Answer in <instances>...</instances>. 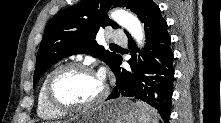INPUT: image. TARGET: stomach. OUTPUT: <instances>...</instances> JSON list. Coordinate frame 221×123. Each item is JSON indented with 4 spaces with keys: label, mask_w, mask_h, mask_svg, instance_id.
I'll list each match as a JSON object with an SVG mask.
<instances>
[{
    "label": "stomach",
    "mask_w": 221,
    "mask_h": 123,
    "mask_svg": "<svg viewBox=\"0 0 221 123\" xmlns=\"http://www.w3.org/2000/svg\"><path fill=\"white\" fill-rule=\"evenodd\" d=\"M138 110L129 99L117 98L84 111L69 123H137Z\"/></svg>",
    "instance_id": "0dacf381"
}]
</instances>
